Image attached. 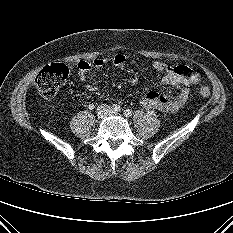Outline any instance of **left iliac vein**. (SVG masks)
I'll list each match as a JSON object with an SVG mask.
<instances>
[{
  "mask_svg": "<svg viewBox=\"0 0 233 233\" xmlns=\"http://www.w3.org/2000/svg\"><path fill=\"white\" fill-rule=\"evenodd\" d=\"M111 114H112V115H117V113H116V112H111Z\"/></svg>",
  "mask_w": 233,
  "mask_h": 233,
  "instance_id": "obj_1",
  "label": "left iliac vein"
}]
</instances>
